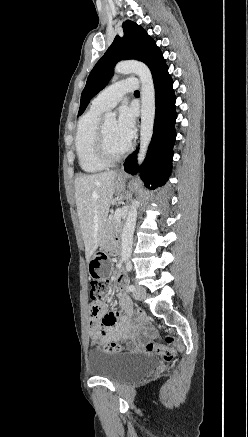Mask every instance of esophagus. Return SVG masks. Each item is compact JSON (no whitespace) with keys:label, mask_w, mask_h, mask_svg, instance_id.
Listing matches in <instances>:
<instances>
[{"label":"esophagus","mask_w":248,"mask_h":437,"mask_svg":"<svg viewBox=\"0 0 248 437\" xmlns=\"http://www.w3.org/2000/svg\"><path fill=\"white\" fill-rule=\"evenodd\" d=\"M118 176L120 177H122L123 176V172L122 171H120L119 173H118Z\"/></svg>","instance_id":"1"}]
</instances>
